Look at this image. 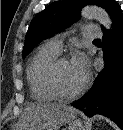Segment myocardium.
<instances>
[{
	"label": "myocardium",
	"mask_w": 123,
	"mask_h": 130,
	"mask_svg": "<svg viewBox=\"0 0 123 130\" xmlns=\"http://www.w3.org/2000/svg\"><path fill=\"white\" fill-rule=\"evenodd\" d=\"M65 60H68V58L65 56H60L53 61L49 72L50 85L52 87V90L54 91V93L59 99L72 100L80 96L85 91V89L88 86V79L86 78L83 84L81 85V87H79L77 90L72 92L65 91L62 88L58 78V67L60 63Z\"/></svg>",
	"instance_id": "f54148a6"
}]
</instances>
